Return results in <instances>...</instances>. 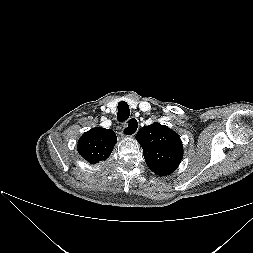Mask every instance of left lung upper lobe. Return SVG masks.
I'll return each instance as SVG.
<instances>
[{"instance_id":"5c2ea615","label":"left lung upper lobe","mask_w":253,"mask_h":253,"mask_svg":"<svg viewBox=\"0 0 253 253\" xmlns=\"http://www.w3.org/2000/svg\"><path fill=\"white\" fill-rule=\"evenodd\" d=\"M146 164L159 176L174 172L183 156V147L176 132L160 123L142 127L137 135Z\"/></svg>"}]
</instances>
